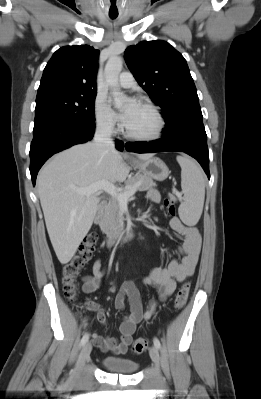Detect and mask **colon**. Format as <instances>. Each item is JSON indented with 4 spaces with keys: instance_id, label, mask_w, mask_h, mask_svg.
<instances>
[{
    "instance_id": "5ec220e1",
    "label": "colon",
    "mask_w": 261,
    "mask_h": 399,
    "mask_svg": "<svg viewBox=\"0 0 261 399\" xmlns=\"http://www.w3.org/2000/svg\"><path fill=\"white\" fill-rule=\"evenodd\" d=\"M164 207L168 214L172 216L175 215V204L171 199H165ZM97 243L98 235L96 233L87 234L74 257L63 266L62 289L65 297L69 301L73 302L78 297L77 277L82 268L91 260ZM189 290L190 284L188 282L184 283L178 290L174 300L175 309L180 310L184 307L188 298ZM148 344V341L144 338L135 340L132 344L133 353L141 354L147 349Z\"/></svg>"
}]
</instances>
